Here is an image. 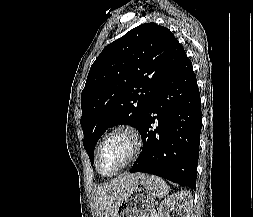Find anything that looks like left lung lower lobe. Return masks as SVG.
<instances>
[{"mask_svg":"<svg viewBox=\"0 0 253 217\" xmlns=\"http://www.w3.org/2000/svg\"><path fill=\"white\" fill-rule=\"evenodd\" d=\"M153 123L156 125L151 126ZM201 124L200 93L192 63L185 55L140 122L143 151L130 172L154 174L196 189Z\"/></svg>","mask_w":253,"mask_h":217,"instance_id":"1","label":"left lung lower lobe"}]
</instances>
